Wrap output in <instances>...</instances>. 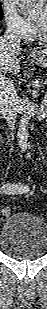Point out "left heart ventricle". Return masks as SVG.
Returning <instances> with one entry per match:
<instances>
[{
	"label": "left heart ventricle",
	"mask_w": 47,
	"mask_h": 309,
	"mask_svg": "<svg viewBox=\"0 0 47 309\" xmlns=\"http://www.w3.org/2000/svg\"><path fill=\"white\" fill-rule=\"evenodd\" d=\"M41 17V20L40 22L38 23V27L41 31L45 30L46 29V19L44 16H40Z\"/></svg>",
	"instance_id": "left-heart-ventricle-1"
}]
</instances>
